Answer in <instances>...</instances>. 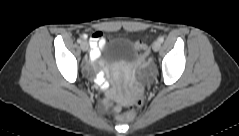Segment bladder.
<instances>
[{
  "label": "bladder",
  "mask_w": 239,
  "mask_h": 136,
  "mask_svg": "<svg viewBox=\"0 0 239 136\" xmlns=\"http://www.w3.org/2000/svg\"><path fill=\"white\" fill-rule=\"evenodd\" d=\"M142 53L136 45L126 37H117L104 44L102 50V63L111 66L118 63H126L132 69H136L141 62Z\"/></svg>",
  "instance_id": "bladder-1"
}]
</instances>
